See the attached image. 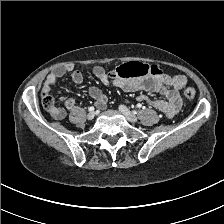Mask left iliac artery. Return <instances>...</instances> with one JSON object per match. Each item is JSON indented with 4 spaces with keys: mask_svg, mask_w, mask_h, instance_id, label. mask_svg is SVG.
<instances>
[{
    "mask_svg": "<svg viewBox=\"0 0 224 224\" xmlns=\"http://www.w3.org/2000/svg\"><path fill=\"white\" fill-rule=\"evenodd\" d=\"M141 106H142L141 104H137V107H138V108H141Z\"/></svg>",
    "mask_w": 224,
    "mask_h": 224,
    "instance_id": "1",
    "label": "left iliac artery"
}]
</instances>
